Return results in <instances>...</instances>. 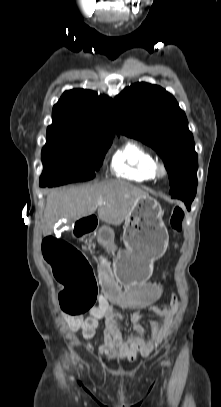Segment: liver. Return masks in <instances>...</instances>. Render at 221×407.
I'll list each match as a JSON object with an SVG mask.
<instances>
[{
  "instance_id": "obj_1",
  "label": "liver",
  "mask_w": 221,
  "mask_h": 407,
  "mask_svg": "<svg viewBox=\"0 0 221 407\" xmlns=\"http://www.w3.org/2000/svg\"><path fill=\"white\" fill-rule=\"evenodd\" d=\"M145 195L147 193L143 190L116 180L51 191L44 210L43 234L50 235L60 219L76 221L95 211L103 222L120 225L130 215L137 200ZM100 200L102 205H98Z\"/></svg>"
}]
</instances>
